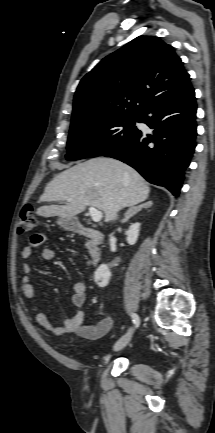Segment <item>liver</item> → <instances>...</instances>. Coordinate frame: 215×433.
Masks as SVG:
<instances>
[{"label": "liver", "mask_w": 215, "mask_h": 433, "mask_svg": "<svg viewBox=\"0 0 215 433\" xmlns=\"http://www.w3.org/2000/svg\"><path fill=\"white\" fill-rule=\"evenodd\" d=\"M149 193L150 188L136 170L116 159L97 157L54 177L40 201L66 203L42 206L37 209V215L72 219L92 206L103 211L105 220L110 221L120 209L146 200Z\"/></svg>", "instance_id": "liver-1"}]
</instances>
